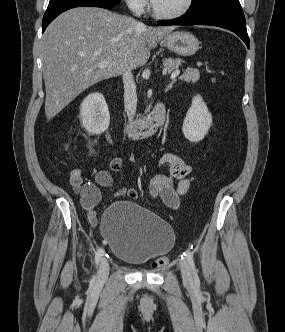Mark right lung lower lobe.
Listing matches in <instances>:
<instances>
[{"label":"right lung lower lobe","mask_w":285,"mask_h":332,"mask_svg":"<svg viewBox=\"0 0 285 332\" xmlns=\"http://www.w3.org/2000/svg\"><path fill=\"white\" fill-rule=\"evenodd\" d=\"M117 4L107 3L102 0H52L49 2L42 21V33L46 27L62 12L81 6L113 8Z\"/></svg>","instance_id":"right-lung-lower-lobe-1"}]
</instances>
